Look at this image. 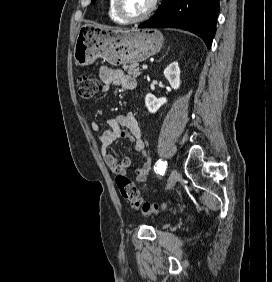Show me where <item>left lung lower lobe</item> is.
<instances>
[{
  "mask_svg": "<svg viewBox=\"0 0 272 282\" xmlns=\"http://www.w3.org/2000/svg\"><path fill=\"white\" fill-rule=\"evenodd\" d=\"M219 0H164L158 12L139 28L188 30L200 36L210 48L216 32Z\"/></svg>",
  "mask_w": 272,
  "mask_h": 282,
  "instance_id": "0a47b994",
  "label": "left lung lower lobe"
}]
</instances>
